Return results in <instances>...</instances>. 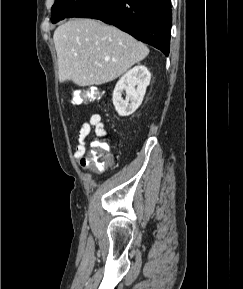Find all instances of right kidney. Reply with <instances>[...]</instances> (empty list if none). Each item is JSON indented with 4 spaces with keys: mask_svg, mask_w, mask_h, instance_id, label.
Listing matches in <instances>:
<instances>
[{
    "mask_svg": "<svg viewBox=\"0 0 243 289\" xmlns=\"http://www.w3.org/2000/svg\"><path fill=\"white\" fill-rule=\"evenodd\" d=\"M151 74L144 65H137L124 74L113 91V105L120 116H129L141 105ZM126 92L125 100L122 98Z\"/></svg>",
    "mask_w": 243,
    "mask_h": 289,
    "instance_id": "ca27d5eb",
    "label": "right kidney"
}]
</instances>
